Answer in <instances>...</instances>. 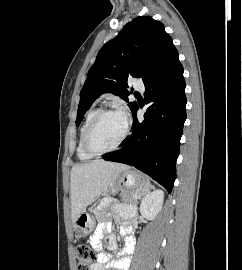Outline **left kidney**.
I'll list each match as a JSON object with an SVG mask.
<instances>
[{"label": "left kidney", "instance_id": "5707ae66", "mask_svg": "<svg viewBox=\"0 0 242 270\" xmlns=\"http://www.w3.org/2000/svg\"><path fill=\"white\" fill-rule=\"evenodd\" d=\"M164 192L161 189L154 190L146 195L140 204V213L148 220H153L162 209Z\"/></svg>", "mask_w": 242, "mask_h": 270}]
</instances>
